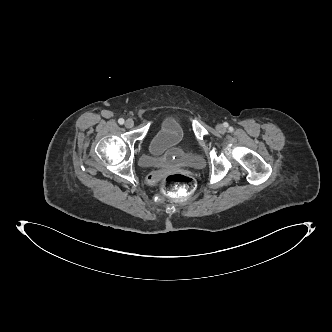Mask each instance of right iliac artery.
Masks as SVG:
<instances>
[{
    "mask_svg": "<svg viewBox=\"0 0 332 332\" xmlns=\"http://www.w3.org/2000/svg\"><path fill=\"white\" fill-rule=\"evenodd\" d=\"M118 123L121 124V125L124 124V119H123V118H120V119L118 120Z\"/></svg>",
    "mask_w": 332,
    "mask_h": 332,
    "instance_id": "right-iliac-artery-1",
    "label": "right iliac artery"
}]
</instances>
